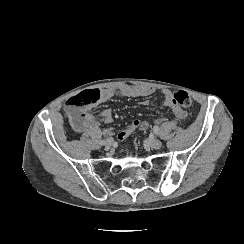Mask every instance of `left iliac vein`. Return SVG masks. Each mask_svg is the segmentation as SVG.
Here are the masks:
<instances>
[{
	"instance_id": "left-iliac-vein-1",
	"label": "left iliac vein",
	"mask_w": 244,
	"mask_h": 244,
	"mask_svg": "<svg viewBox=\"0 0 244 244\" xmlns=\"http://www.w3.org/2000/svg\"><path fill=\"white\" fill-rule=\"evenodd\" d=\"M148 144L150 147H152L153 149H159L162 146V143L160 140L152 138L148 141Z\"/></svg>"
}]
</instances>
